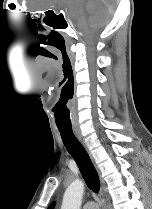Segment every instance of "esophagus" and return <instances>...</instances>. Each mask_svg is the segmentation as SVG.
Masks as SVG:
<instances>
[{
	"mask_svg": "<svg viewBox=\"0 0 152 209\" xmlns=\"http://www.w3.org/2000/svg\"><path fill=\"white\" fill-rule=\"evenodd\" d=\"M73 132H74L75 136L77 137L78 141L82 144V146L86 149V151L89 152V150L87 148V145H86V143L84 141V138H83L80 130L78 128L74 127L73 128ZM102 198H103L104 206L107 209L108 208V204H107V199L105 198L104 191H102Z\"/></svg>",
	"mask_w": 152,
	"mask_h": 209,
	"instance_id": "obj_1",
	"label": "esophagus"
}]
</instances>
